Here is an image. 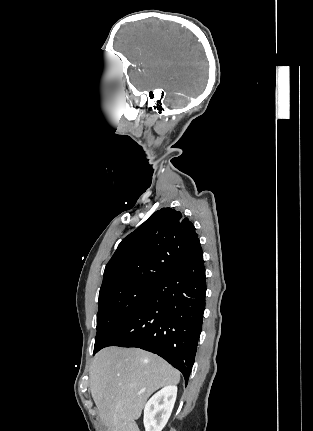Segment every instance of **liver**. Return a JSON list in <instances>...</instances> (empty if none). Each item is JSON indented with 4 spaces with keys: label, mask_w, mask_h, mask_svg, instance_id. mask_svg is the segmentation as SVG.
I'll list each match as a JSON object with an SVG mask.
<instances>
[{
    "label": "liver",
    "mask_w": 313,
    "mask_h": 431,
    "mask_svg": "<svg viewBox=\"0 0 313 431\" xmlns=\"http://www.w3.org/2000/svg\"><path fill=\"white\" fill-rule=\"evenodd\" d=\"M89 375L92 398L108 431H139L135 420L150 395L180 381V373L165 360L138 348L102 349Z\"/></svg>",
    "instance_id": "6515ba94"
}]
</instances>
